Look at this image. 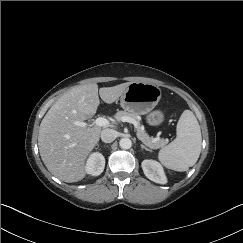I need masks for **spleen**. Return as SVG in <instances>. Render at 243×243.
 <instances>
[{"instance_id":"spleen-1","label":"spleen","mask_w":243,"mask_h":243,"mask_svg":"<svg viewBox=\"0 0 243 243\" xmlns=\"http://www.w3.org/2000/svg\"><path fill=\"white\" fill-rule=\"evenodd\" d=\"M176 131V138L161 148L158 159L166 168L183 172L197 162L201 152V130L193 112L182 113Z\"/></svg>"}]
</instances>
